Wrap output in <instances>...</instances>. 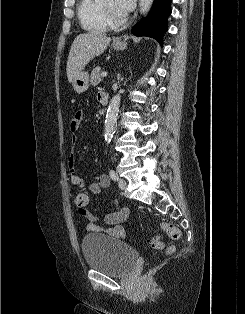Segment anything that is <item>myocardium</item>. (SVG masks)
Listing matches in <instances>:
<instances>
[{"instance_id": "1", "label": "myocardium", "mask_w": 245, "mask_h": 314, "mask_svg": "<svg viewBox=\"0 0 245 314\" xmlns=\"http://www.w3.org/2000/svg\"><path fill=\"white\" fill-rule=\"evenodd\" d=\"M99 9L103 19L110 26H120L126 21V18L124 16H118L114 13L107 11L103 7L102 3L99 4Z\"/></svg>"}]
</instances>
